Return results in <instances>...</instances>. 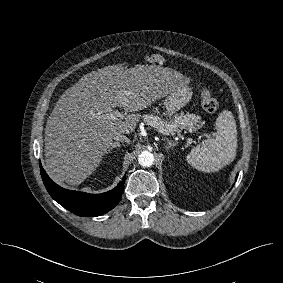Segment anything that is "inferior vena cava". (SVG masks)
Segmentation results:
<instances>
[{
	"label": "inferior vena cava",
	"mask_w": 283,
	"mask_h": 283,
	"mask_svg": "<svg viewBox=\"0 0 283 283\" xmlns=\"http://www.w3.org/2000/svg\"><path fill=\"white\" fill-rule=\"evenodd\" d=\"M114 140L119 141V142H126V143L130 142V140L126 136H124L123 134H116L114 136Z\"/></svg>",
	"instance_id": "1"
}]
</instances>
